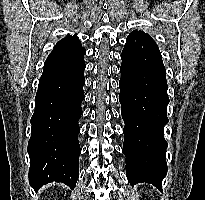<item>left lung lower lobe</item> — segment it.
Segmentation results:
<instances>
[{"label":"left lung lower lobe","instance_id":"0a47b994","mask_svg":"<svg viewBox=\"0 0 205 200\" xmlns=\"http://www.w3.org/2000/svg\"><path fill=\"white\" fill-rule=\"evenodd\" d=\"M121 59L119 101L125 122L126 176L132 185L146 182L162 191L169 103L162 56L150 36H134L127 38Z\"/></svg>","mask_w":205,"mask_h":200}]
</instances>
